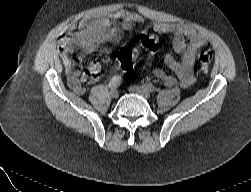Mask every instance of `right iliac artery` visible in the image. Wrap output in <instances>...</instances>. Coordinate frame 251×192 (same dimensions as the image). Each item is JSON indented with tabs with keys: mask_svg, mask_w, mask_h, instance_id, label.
I'll list each match as a JSON object with an SVG mask.
<instances>
[{
	"mask_svg": "<svg viewBox=\"0 0 251 192\" xmlns=\"http://www.w3.org/2000/svg\"><path fill=\"white\" fill-rule=\"evenodd\" d=\"M121 82H122L121 76L116 75L110 80L108 88L116 89L121 85Z\"/></svg>",
	"mask_w": 251,
	"mask_h": 192,
	"instance_id": "82829eb1",
	"label": "right iliac artery"
}]
</instances>
